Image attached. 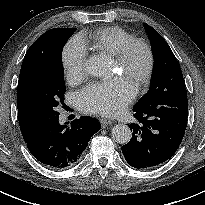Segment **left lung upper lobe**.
I'll return each mask as SVG.
<instances>
[{"mask_svg": "<svg viewBox=\"0 0 205 205\" xmlns=\"http://www.w3.org/2000/svg\"><path fill=\"white\" fill-rule=\"evenodd\" d=\"M144 27L152 43L154 69L151 86L146 95L134 106L138 109L155 100L186 91L180 65L163 37L148 24Z\"/></svg>", "mask_w": 205, "mask_h": 205, "instance_id": "5c2ea615", "label": "left lung upper lobe"}]
</instances>
